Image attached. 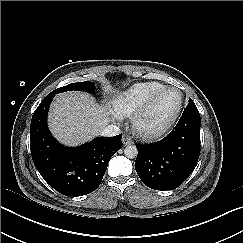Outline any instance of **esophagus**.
<instances>
[{"mask_svg":"<svg viewBox=\"0 0 243 243\" xmlns=\"http://www.w3.org/2000/svg\"><path fill=\"white\" fill-rule=\"evenodd\" d=\"M122 143L123 145L127 146V145H131L133 142L129 136L124 135L122 137Z\"/></svg>","mask_w":243,"mask_h":243,"instance_id":"34e87169","label":"esophagus"}]
</instances>
